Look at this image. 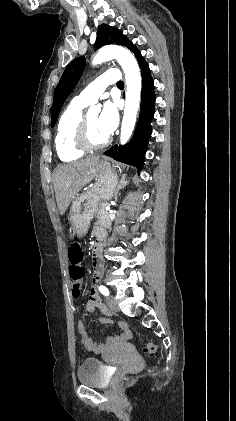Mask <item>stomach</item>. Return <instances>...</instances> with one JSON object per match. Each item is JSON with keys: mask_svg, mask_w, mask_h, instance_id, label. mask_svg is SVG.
<instances>
[{"mask_svg": "<svg viewBox=\"0 0 236 421\" xmlns=\"http://www.w3.org/2000/svg\"><path fill=\"white\" fill-rule=\"evenodd\" d=\"M118 182L119 176L115 168L111 166L107 158H99L96 182L89 190L83 194H77L72 200L69 213L71 235H76V237L87 235L90 223L98 213L100 202L112 198Z\"/></svg>", "mask_w": 236, "mask_h": 421, "instance_id": "1", "label": "stomach"}]
</instances>
